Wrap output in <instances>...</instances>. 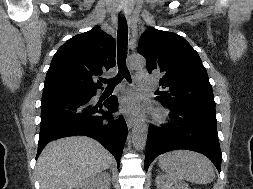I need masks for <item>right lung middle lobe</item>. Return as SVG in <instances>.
Instances as JSON below:
<instances>
[{
	"label": "right lung middle lobe",
	"mask_w": 253,
	"mask_h": 189,
	"mask_svg": "<svg viewBox=\"0 0 253 189\" xmlns=\"http://www.w3.org/2000/svg\"><path fill=\"white\" fill-rule=\"evenodd\" d=\"M92 91L84 90H54L43 92L42 98L52 97V96H76L85 97L90 95Z\"/></svg>",
	"instance_id": "1"
}]
</instances>
